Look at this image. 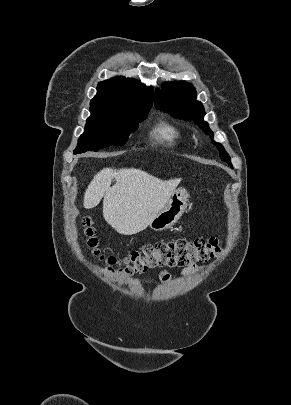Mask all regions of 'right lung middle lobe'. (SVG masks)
Here are the masks:
<instances>
[{
    "label": "right lung middle lobe",
    "instance_id": "obj_1",
    "mask_svg": "<svg viewBox=\"0 0 291 405\" xmlns=\"http://www.w3.org/2000/svg\"><path fill=\"white\" fill-rule=\"evenodd\" d=\"M150 108L134 111L93 110L87 119L84 133L78 140L74 154L98 151L108 146L124 145L130 133L138 128Z\"/></svg>",
    "mask_w": 291,
    "mask_h": 405
}]
</instances>
